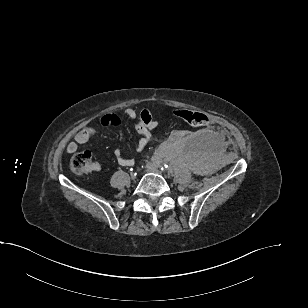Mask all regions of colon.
<instances>
[{"mask_svg": "<svg viewBox=\"0 0 308 308\" xmlns=\"http://www.w3.org/2000/svg\"><path fill=\"white\" fill-rule=\"evenodd\" d=\"M174 115L188 125L199 128L208 125V117L201 112L189 110H175ZM70 167L77 174H85L91 169V154L88 151L73 153L70 159Z\"/></svg>", "mask_w": 308, "mask_h": 308, "instance_id": "colon-1", "label": "colon"}]
</instances>
